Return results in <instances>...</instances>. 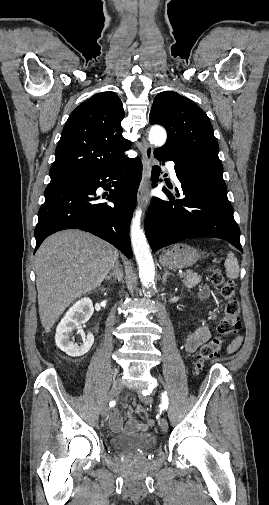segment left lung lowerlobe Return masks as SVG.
<instances>
[{"mask_svg": "<svg viewBox=\"0 0 269 505\" xmlns=\"http://www.w3.org/2000/svg\"><path fill=\"white\" fill-rule=\"evenodd\" d=\"M154 155L159 160L175 162L181 185L174 193L162 188L169 201L152 198L145 232L153 252L192 237L224 239L243 252L239 227L227 198L223 168L192 155L174 152ZM159 172L160 167L154 166V181L159 178Z\"/></svg>", "mask_w": 269, "mask_h": 505, "instance_id": "obj_1", "label": "left lung lower lobe"}]
</instances>
